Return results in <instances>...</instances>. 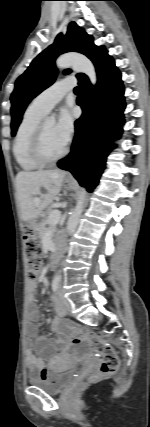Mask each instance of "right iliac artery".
Masks as SVG:
<instances>
[{
    "label": "right iliac artery",
    "instance_id": "obj_1",
    "mask_svg": "<svg viewBox=\"0 0 150 427\" xmlns=\"http://www.w3.org/2000/svg\"><path fill=\"white\" fill-rule=\"evenodd\" d=\"M58 281L57 280H54L53 282H52V289H53V291L54 292H57V290H58Z\"/></svg>",
    "mask_w": 150,
    "mask_h": 427
}]
</instances>
